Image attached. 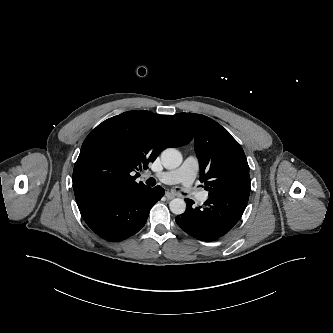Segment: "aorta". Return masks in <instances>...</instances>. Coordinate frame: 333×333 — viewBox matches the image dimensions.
Returning a JSON list of instances; mask_svg holds the SVG:
<instances>
[{
  "label": "aorta",
  "instance_id": "aorta-1",
  "mask_svg": "<svg viewBox=\"0 0 333 333\" xmlns=\"http://www.w3.org/2000/svg\"><path fill=\"white\" fill-rule=\"evenodd\" d=\"M161 161L166 169H175L182 163V155L175 148H167L161 153ZM170 210L175 215L183 214L186 210V203L183 199L175 198L169 203Z\"/></svg>",
  "mask_w": 333,
  "mask_h": 333
}]
</instances>
